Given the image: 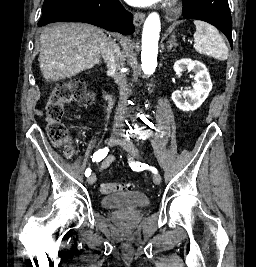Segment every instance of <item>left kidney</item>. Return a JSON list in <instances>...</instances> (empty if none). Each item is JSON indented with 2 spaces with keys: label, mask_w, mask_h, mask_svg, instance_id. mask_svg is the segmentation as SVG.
Here are the masks:
<instances>
[{
  "label": "left kidney",
  "mask_w": 256,
  "mask_h": 267,
  "mask_svg": "<svg viewBox=\"0 0 256 267\" xmlns=\"http://www.w3.org/2000/svg\"><path fill=\"white\" fill-rule=\"evenodd\" d=\"M176 74L186 72V70H192L195 76H193L196 84L193 86V90H175L172 94V100L176 104L179 110L183 112H189V110H197L201 106L202 102L206 100L209 92L212 90V82L210 80V74L198 60H190V58H183V60H177L173 66Z\"/></svg>",
  "instance_id": "obj_1"
}]
</instances>
